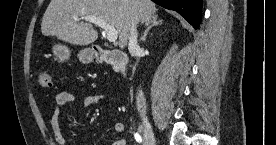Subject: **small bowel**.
Instances as JSON below:
<instances>
[{
    "label": "small bowel",
    "mask_w": 276,
    "mask_h": 145,
    "mask_svg": "<svg viewBox=\"0 0 276 145\" xmlns=\"http://www.w3.org/2000/svg\"><path fill=\"white\" fill-rule=\"evenodd\" d=\"M78 99H80L81 106L89 107L103 102L104 96L98 94H90L82 98H79V96L76 93L71 91H62L55 96V107L51 113L50 126L53 133V137L59 145H66V139L60 125L61 109L65 105L74 102ZM124 128L125 126L123 122L119 121L114 124V130L119 135V137L113 143V145H127V141L123 137Z\"/></svg>",
    "instance_id": "obj_1"
}]
</instances>
